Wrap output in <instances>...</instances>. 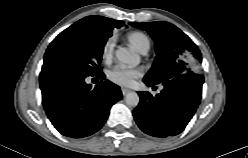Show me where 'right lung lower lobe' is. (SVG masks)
<instances>
[{
	"label": "right lung lower lobe",
	"mask_w": 248,
	"mask_h": 158,
	"mask_svg": "<svg viewBox=\"0 0 248 158\" xmlns=\"http://www.w3.org/2000/svg\"><path fill=\"white\" fill-rule=\"evenodd\" d=\"M93 77L104 79L101 71ZM87 75L49 70L40 73L42 103L54 127L64 136L82 138L97 132L106 122L111 106L122 99L120 88L100 81L94 88Z\"/></svg>",
	"instance_id": "right-lung-lower-lobe-1"
}]
</instances>
